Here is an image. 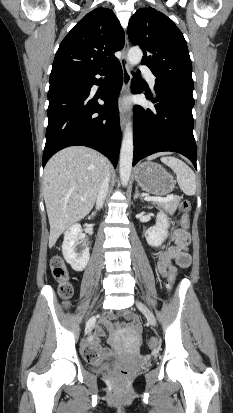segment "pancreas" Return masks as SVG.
<instances>
[{
    "label": "pancreas",
    "instance_id": "pancreas-1",
    "mask_svg": "<svg viewBox=\"0 0 233 413\" xmlns=\"http://www.w3.org/2000/svg\"><path fill=\"white\" fill-rule=\"evenodd\" d=\"M180 202V198L175 196L173 200L168 202H159L157 205L167 211L169 214H174Z\"/></svg>",
    "mask_w": 233,
    "mask_h": 413
}]
</instances>
